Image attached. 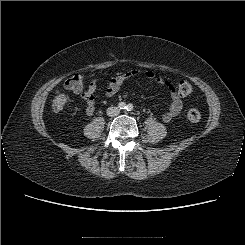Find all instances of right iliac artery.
<instances>
[{
	"mask_svg": "<svg viewBox=\"0 0 245 245\" xmlns=\"http://www.w3.org/2000/svg\"><path fill=\"white\" fill-rule=\"evenodd\" d=\"M118 107H119V109H121V110H124V109L127 108L126 103H124V102H120V103L118 104Z\"/></svg>",
	"mask_w": 245,
	"mask_h": 245,
	"instance_id": "obj_1",
	"label": "right iliac artery"
}]
</instances>
